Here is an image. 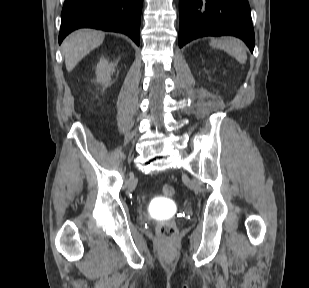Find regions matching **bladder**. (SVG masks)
<instances>
[{"label":"bladder","mask_w":309,"mask_h":288,"mask_svg":"<svg viewBox=\"0 0 309 288\" xmlns=\"http://www.w3.org/2000/svg\"><path fill=\"white\" fill-rule=\"evenodd\" d=\"M169 197H164V200L154 203L155 208L161 214L168 213L171 210V203L167 200Z\"/></svg>","instance_id":"bladder-1"}]
</instances>
